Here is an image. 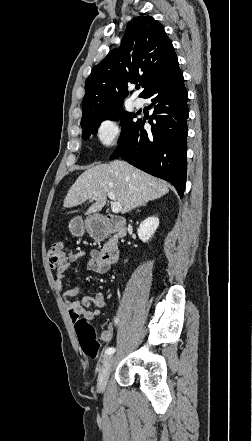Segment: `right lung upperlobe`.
Listing matches in <instances>:
<instances>
[{"label": "right lung upper lobe", "instance_id": "1", "mask_svg": "<svg viewBox=\"0 0 252 441\" xmlns=\"http://www.w3.org/2000/svg\"><path fill=\"white\" fill-rule=\"evenodd\" d=\"M177 61L162 24L139 16L127 25L121 45L95 66L85 83L81 124L96 115L123 106L127 83H142L143 97Z\"/></svg>", "mask_w": 252, "mask_h": 441}]
</instances>
